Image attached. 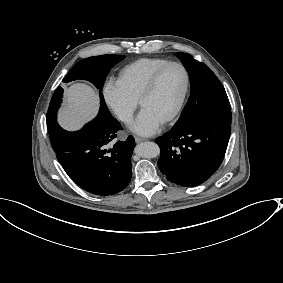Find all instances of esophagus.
Returning <instances> with one entry per match:
<instances>
[{"label":"esophagus","instance_id":"obj_1","mask_svg":"<svg viewBox=\"0 0 283 283\" xmlns=\"http://www.w3.org/2000/svg\"><path fill=\"white\" fill-rule=\"evenodd\" d=\"M135 141H136L137 143H140V142L147 141V139L142 138V137H135Z\"/></svg>","mask_w":283,"mask_h":283}]
</instances>
